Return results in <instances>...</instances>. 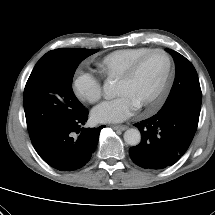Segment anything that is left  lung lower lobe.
<instances>
[{"mask_svg":"<svg viewBox=\"0 0 215 215\" xmlns=\"http://www.w3.org/2000/svg\"><path fill=\"white\" fill-rule=\"evenodd\" d=\"M198 121L199 115L182 107H172L134 124L142 140L129 149L132 161L142 168L155 170L173 165L191 144Z\"/></svg>","mask_w":215,"mask_h":215,"instance_id":"1","label":"left lung lower lobe"}]
</instances>
